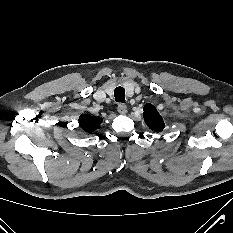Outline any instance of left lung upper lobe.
I'll return each instance as SVG.
<instances>
[{
    "instance_id": "left-lung-upper-lobe-1",
    "label": "left lung upper lobe",
    "mask_w": 233,
    "mask_h": 233,
    "mask_svg": "<svg viewBox=\"0 0 233 233\" xmlns=\"http://www.w3.org/2000/svg\"><path fill=\"white\" fill-rule=\"evenodd\" d=\"M143 110L146 125L153 131L161 132L165 128V123L157 109L152 104L147 103Z\"/></svg>"
}]
</instances>
